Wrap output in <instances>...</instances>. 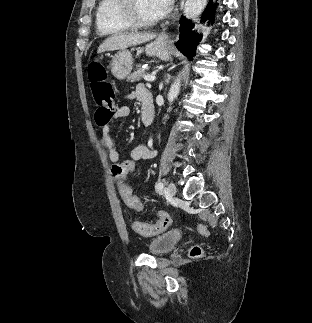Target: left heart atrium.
Masks as SVG:
<instances>
[{"label":"left heart atrium","instance_id":"left-heart-atrium-1","mask_svg":"<svg viewBox=\"0 0 312 323\" xmlns=\"http://www.w3.org/2000/svg\"><path fill=\"white\" fill-rule=\"evenodd\" d=\"M158 5H153V12H172L176 7V0H156Z\"/></svg>","mask_w":312,"mask_h":323}]
</instances>
